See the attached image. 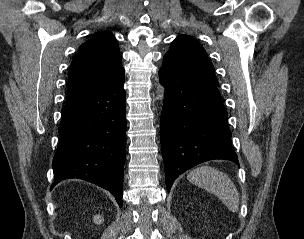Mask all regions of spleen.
Instances as JSON below:
<instances>
[{
  "label": "spleen",
  "instance_id": "1",
  "mask_svg": "<svg viewBox=\"0 0 304 239\" xmlns=\"http://www.w3.org/2000/svg\"><path fill=\"white\" fill-rule=\"evenodd\" d=\"M187 179L217 196L231 212H238L239 193L233 181L223 172L209 166H200L193 169Z\"/></svg>",
  "mask_w": 304,
  "mask_h": 239
}]
</instances>
